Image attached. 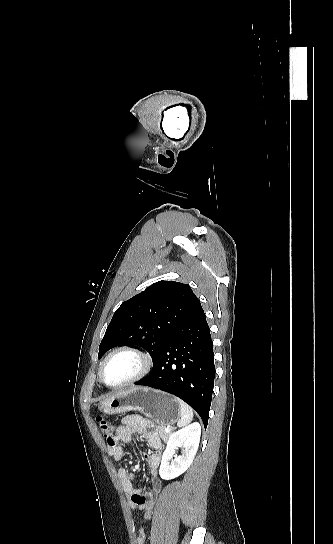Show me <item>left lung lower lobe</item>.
Instances as JSON below:
<instances>
[{"label":"left lung lower lobe","instance_id":"0a47b994","mask_svg":"<svg viewBox=\"0 0 333 544\" xmlns=\"http://www.w3.org/2000/svg\"><path fill=\"white\" fill-rule=\"evenodd\" d=\"M215 365L210 329L198 300L136 385L171 393L189 404L207 426Z\"/></svg>","mask_w":333,"mask_h":544}]
</instances>
